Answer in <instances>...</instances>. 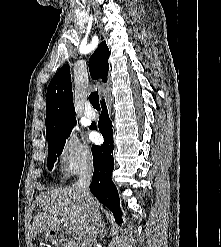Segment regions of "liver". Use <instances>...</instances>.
<instances>
[{
	"instance_id": "1",
	"label": "liver",
	"mask_w": 221,
	"mask_h": 247,
	"mask_svg": "<svg viewBox=\"0 0 221 247\" xmlns=\"http://www.w3.org/2000/svg\"><path fill=\"white\" fill-rule=\"evenodd\" d=\"M93 199L99 212L100 203ZM35 204L42 208V211L33 219V237L41 232L58 230L64 223L69 232L77 236L79 242L83 241L90 224V214L76 185L42 192L36 198Z\"/></svg>"
}]
</instances>
